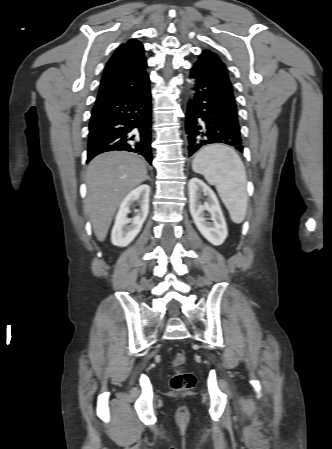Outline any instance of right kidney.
Instances as JSON below:
<instances>
[{
	"mask_svg": "<svg viewBox=\"0 0 332 449\" xmlns=\"http://www.w3.org/2000/svg\"><path fill=\"white\" fill-rule=\"evenodd\" d=\"M149 185L143 184L132 190L120 204L119 211L115 218V224L111 233V242L115 246L125 247L129 245L140 232L143 223L149 213ZM138 202L140 209L137 215L129 219L130 206Z\"/></svg>",
	"mask_w": 332,
	"mask_h": 449,
	"instance_id": "ca27d5eb",
	"label": "right kidney"
}]
</instances>
